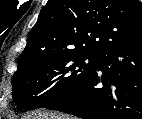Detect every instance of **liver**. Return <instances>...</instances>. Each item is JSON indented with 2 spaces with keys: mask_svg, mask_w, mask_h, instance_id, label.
Masks as SVG:
<instances>
[{
  "mask_svg": "<svg viewBox=\"0 0 142 119\" xmlns=\"http://www.w3.org/2000/svg\"><path fill=\"white\" fill-rule=\"evenodd\" d=\"M23 119H77V118L69 115L48 114L37 111L32 114H28L27 116H24Z\"/></svg>",
  "mask_w": 142,
  "mask_h": 119,
  "instance_id": "6515ba94",
  "label": "liver"
}]
</instances>
